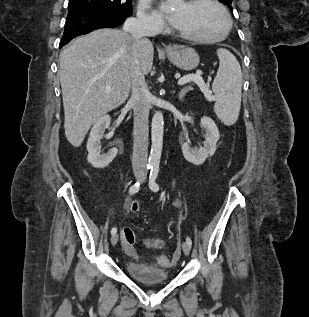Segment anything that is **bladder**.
Returning a JSON list of instances; mask_svg holds the SVG:
<instances>
[{"label": "bladder", "instance_id": "1", "mask_svg": "<svg viewBox=\"0 0 309 317\" xmlns=\"http://www.w3.org/2000/svg\"><path fill=\"white\" fill-rule=\"evenodd\" d=\"M125 270L133 280L144 285L164 284L169 279L165 269L133 260L126 263Z\"/></svg>", "mask_w": 309, "mask_h": 317}]
</instances>
